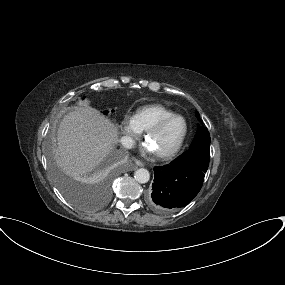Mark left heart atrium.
I'll list each match as a JSON object with an SVG mask.
<instances>
[{"instance_id":"1","label":"left heart atrium","mask_w":285,"mask_h":285,"mask_svg":"<svg viewBox=\"0 0 285 285\" xmlns=\"http://www.w3.org/2000/svg\"><path fill=\"white\" fill-rule=\"evenodd\" d=\"M146 151H150V148H149V147H147V148H146Z\"/></svg>"}]
</instances>
